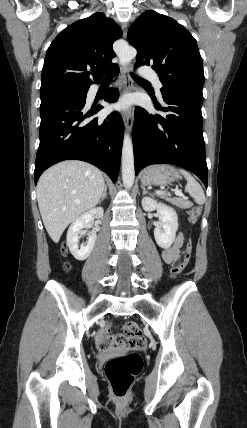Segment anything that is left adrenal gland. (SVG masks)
Segmentation results:
<instances>
[{"label": "left adrenal gland", "instance_id": "obj_1", "mask_svg": "<svg viewBox=\"0 0 247 428\" xmlns=\"http://www.w3.org/2000/svg\"><path fill=\"white\" fill-rule=\"evenodd\" d=\"M141 188L143 189V194L149 193V192L146 190V188H145V186H144V185H141Z\"/></svg>", "mask_w": 247, "mask_h": 428}]
</instances>
